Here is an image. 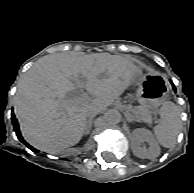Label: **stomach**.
<instances>
[{"label": "stomach", "instance_id": "obj_1", "mask_svg": "<svg viewBox=\"0 0 194 193\" xmlns=\"http://www.w3.org/2000/svg\"><path fill=\"white\" fill-rule=\"evenodd\" d=\"M136 86V97L141 110L156 109L168 97L166 79L159 74L140 73L133 82Z\"/></svg>", "mask_w": 194, "mask_h": 193}]
</instances>
